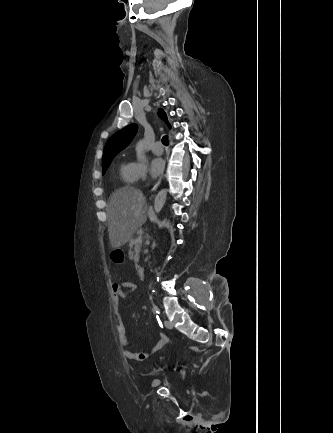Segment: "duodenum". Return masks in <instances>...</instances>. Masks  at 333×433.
Instances as JSON below:
<instances>
[{
    "instance_id": "duodenum-1",
    "label": "duodenum",
    "mask_w": 333,
    "mask_h": 433,
    "mask_svg": "<svg viewBox=\"0 0 333 433\" xmlns=\"http://www.w3.org/2000/svg\"><path fill=\"white\" fill-rule=\"evenodd\" d=\"M135 237H130L129 247L132 249L134 246ZM138 275L140 279L144 280L146 278V270L143 267L138 268Z\"/></svg>"
}]
</instances>
